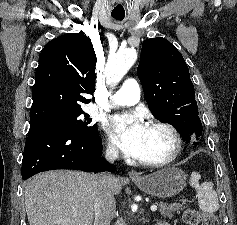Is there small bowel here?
Wrapping results in <instances>:
<instances>
[{
	"label": "small bowel",
	"instance_id": "c3829d8e",
	"mask_svg": "<svg viewBox=\"0 0 237 225\" xmlns=\"http://www.w3.org/2000/svg\"><path fill=\"white\" fill-rule=\"evenodd\" d=\"M157 225H170V224L167 223V222L162 221V222H159Z\"/></svg>",
	"mask_w": 237,
	"mask_h": 225
}]
</instances>
